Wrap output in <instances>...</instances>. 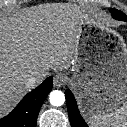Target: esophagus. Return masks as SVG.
<instances>
[{"label":"esophagus","instance_id":"obj_1","mask_svg":"<svg viewBox=\"0 0 127 127\" xmlns=\"http://www.w3.org/2000/svg\"><path fill=\"white\" fill-rule=\"evenodd\" d=\"M67 80V77L65 74L58 73L55 75L53 84L55 87H61Z\"/></svg>","mask_w":127,"mask_h":127}]
</instances>
